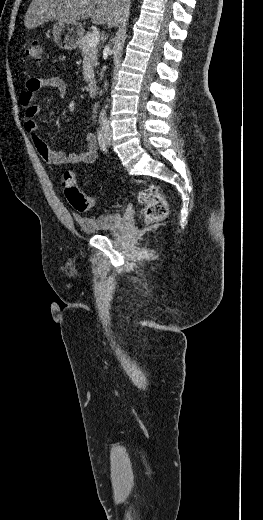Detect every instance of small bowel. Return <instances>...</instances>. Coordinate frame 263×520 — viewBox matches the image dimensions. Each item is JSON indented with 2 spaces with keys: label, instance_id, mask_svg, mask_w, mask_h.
I'll list each match as a JSON object with an SVG mask.
<instances>
[{
  "label": "small bowel",
  "instance_id": "small-bowel-1",
  "mask_svg": "<svg viewBox=\"0 0 263 520\" xmlns=\"http://www.w3.org/2000/svg\"><path fill=\"white\" fill-rule=\"evenodd\" d=\"M44 87L55 88L60 94L67 91L66 82L57 77L30 78L20 94V102L25 111V130L31 135L33 144L42 159L51 166L89 164L97 162V140L93 133L86 134V149L80 153L65 154L63 151L51 150L38 134V124L35 117L40 113V106L34 103L35 93Z\"/></svg>",
  "mask_w": 263,
  "mask_h": 520
}]
</instances>
